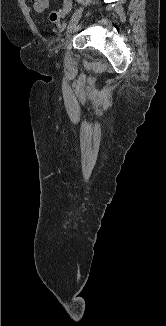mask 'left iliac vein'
<instances>
[{
  "mask_svg": "<svg viewBox=\"0 0 166 326\" xmlns=\"http://www.w3.org/2000/svg\"><path fill=\"white\" fill-rule=\"evenodd\" d=\"M82 13H83V7H79L75 12L74 14L72 15L71 19H70V22L68 24V27H67V37H66V41H65V44L68 43V40H69V35L70 33L74 30V28L76 27L77 23L79 22L81 16H82Z\"/></svg>",
  "mask_w": 166,
  "mask_h": 326,
  "instance_id": "obj_1",
  "label": "left iliac vein"
}]
</instances>
